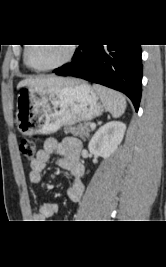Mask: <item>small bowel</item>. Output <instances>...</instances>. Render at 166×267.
Masks as SVG:
<instances>
[{"label": "small bowel", "mask_w": 166, "mask_h": 267, "mask_svg": "<svg viewBox=\"0 0 166 267\" xmlns=\"http://www.w3.org/2000/svg\"><path fill=\"white\" fill-rule=\"evenodd\" d=\"M81 142L74 137H67L61 141L54 138L45 140L44 145L40 148L34 159L30 161L29 181L32 184H39L42 180V172L52 155H59L57 165L68 171L72 176V183L67 190L68 198L72 202H79L82 198L84 185L82 176L84 167L80 162ZM58 213V206L52 202L43 203L39 211L34 213L33 218L37 222L50 218Z\"/></svg>", "instance_id": "c3829d8e"}]
</instances>
